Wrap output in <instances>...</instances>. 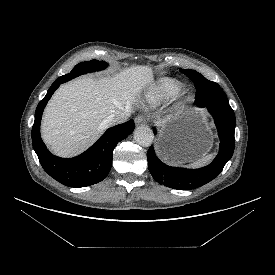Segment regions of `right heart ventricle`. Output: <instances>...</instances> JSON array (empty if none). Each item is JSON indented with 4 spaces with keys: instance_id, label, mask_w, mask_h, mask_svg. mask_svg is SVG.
Segmentation results:
<instances>
[{
    "instance_id": "right-heart-ventricle-1",
    "label": "right heart ventricle",
    "mask_w": 275,
    "mask_h": 275,
    "mask_svg": "<svg viewBox=\"0 0 275 275\" xmlns=\"http://www.w3.org/2000/svg\"><path fill=\"white\" fill-rule=\"evenodd\" d=\"M180 89L179 82L169 78L160 79L148 88L145 99L149 104L156 105L172 98Z\"/></svg>"
}]
</instances>
